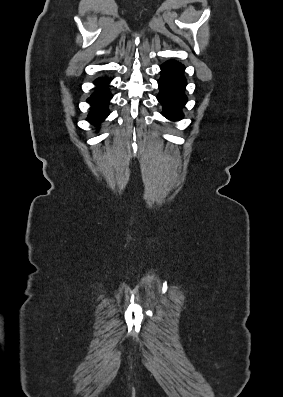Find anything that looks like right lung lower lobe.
I'll use <instances>...</instances> for the list:
<instances>
[{
  "label": "right lung lower lobe",
  "instance_id": "right-lung-lower-lobe-1",
  "mask_svg": "<svg viewBox=\"0 0 283 397\" xmlns=\"http://www.w3.org/2000/svg\"><path fill=\"white\" fill-rule=\"evenodd\" d=\"M110 79L99 78L95 81L98 88H102V91H95L91 94L87 102L92 104L91 111L88 114L87 121L92 122L94 125H99L108 115L109 110L106 105L107 102L113 97L110 91L106 90V85L109 83Z\"/></svg>",
  "mask_w": 283,
  "mask_h": 397
}]
</instances>
